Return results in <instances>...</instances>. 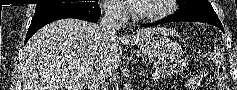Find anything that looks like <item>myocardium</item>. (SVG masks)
<instances>
[{"label":"myocardium","instance_id":"obj_1","mask_svg":"<svg viewBox=\"0 0 237 90\" xmlns=\"http://www.w3.org/2000/svg\"><path fill=\"white\" fill-rule=\"evenodd\" d=\"M157 3H163L161 9L155 13H149L139 8L137 5L131 4L129 6L130 13L136 20H141L147 23L157 22L168 16L173 11L172 3H177V0H156Z\"/></svg>","mask_w":237,"mask_h":90}]
</instances>
